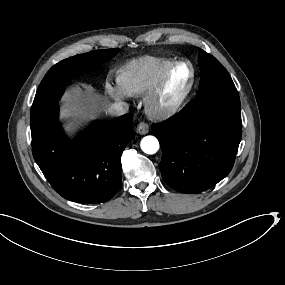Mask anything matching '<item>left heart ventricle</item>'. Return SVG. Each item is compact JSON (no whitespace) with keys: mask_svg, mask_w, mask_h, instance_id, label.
I'll return each mask as SVG.
<instances>
[{"mask_svg":"<svg viewBox=\"0 0 285 285\" xmlns=\"http://www.w3.org/2000/svg\"><path fill=\"white\" fill-rule=\"evenodd\" d=\"M186 82L181 79L180 75L173 76L168 82L162 94L156 100V106H164L174 103L182 94Z\"/></svg>","mask_w":285,"mask_h":285,"instance_id":"obj_1","label":"left heart ventricle"}]
</instances>
